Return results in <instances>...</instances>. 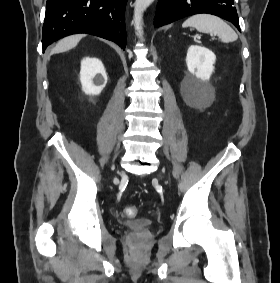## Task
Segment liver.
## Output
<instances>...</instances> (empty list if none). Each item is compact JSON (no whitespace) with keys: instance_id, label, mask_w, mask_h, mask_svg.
Returning <instances> with one entry per match:
<instances>
[{"instance_id":"1","label":"liver","mask_w":280,"mask_h":283,"mask_svg":"<svg viewBox=\"0 0 280 283\" xmlns=\"http://www.w3.org/2000/svg\"><path fill=\"white\" fill-rule=\"evenodd\" d=\"M84 35H72L62 39L52 50V54L61 53L74 48Z\"/></svg>"}]
</instances>
